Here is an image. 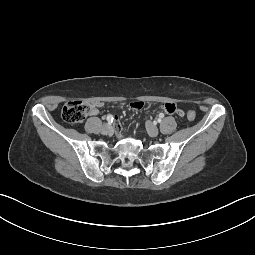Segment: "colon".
I'll return each instance as SVG.
<instances>
[{
    "label": "colon",
    "instance_id": "5ec220e1",
    "mask_svg": "<svg viewBox=\"0 0 255 255\" xmlns=\"http://www.w3.org/2000/svg\"><path fill=\"white\" fill-rule=\"evenodd\" d=\"M89 105L80 100L68 101L62 108V118L64 121L70 124H76L82 122L89 113ZM196 114L193 110H189L187 118L189 121H193Z\"/></svg>",
    "mask_w": 255,
    "mask_h": 255
}]
</instances>
